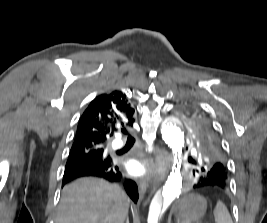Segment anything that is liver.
Returning a JSON list of instances; mask_svg holds the SVG:
<instances>
[{
    "label": "liver",
    "mask_w": 267,
    "mask_h": 223,
    "mask_svg": "<svg viewBox=\"0 0 267 223\" xmlns=\"http://www.w3.org/2000/svg\"><path fill=\"white\" fill-rule=\"evenodd\" d=\"M129 199L117 185L82 178L65 186L56 223H124Z\"/></svg>",
    "instance_id": "6515ba94"
}]
</instances>
